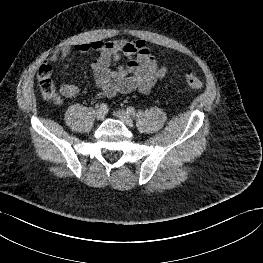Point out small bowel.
Returning a JSON list of instances; mask_svg holds the SVG:
<instances>
[{"mask_svg": "<svg viewBox=\"0 0 263 263\" xmlns=\"http://www.w3.org/2000/svg\"><path fill=\"white\" fill-rule=\"evenodd\" d=\"M72 49L63 47L53 53L52 63L65 60ZM74 51L86 54L98 52L91 63L95 84L99 89V98H108L134 91L149 93L155 84L167 73L166 66H160L144 40L118 39L112 41H92L74 46ZM126 58L125 64L121 60ZM76 84H63L54 96L59 104L63 98H73L79 94Z\"/></svg>", "mask_w": 263, "mask_h": 263, "instance_id": "c3829d8e", "label": "small bowel"}]
</instances>
